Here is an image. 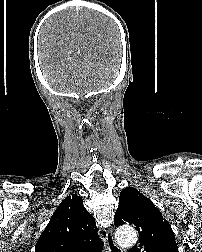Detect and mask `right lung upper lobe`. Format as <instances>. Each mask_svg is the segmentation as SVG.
<instances>
[{"label":"right lung upper lobe","mask_w":202,"mask_h":252,"mask_svg":"<svg viewBox=\"0 0 202 252\" xmlns=\"http://www.w3.org/2000/svg\"><path fill=\"white\" fill-rule=\"evenodd\" d=\"M94 217L77 195L67 196L41 234L35 252H99L103 242L98 237Z\"/></svg>","instance_id":"obj_1"}]
</instances>
